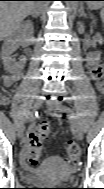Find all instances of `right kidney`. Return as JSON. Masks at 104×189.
Instances as JSON below:
<instances>
[{
	"label": "right kidney",
	"instance_id": "right-kidney-1",
	"mask_svg": "<svg viewBox=\"0 0 104 189\" xmlns=\"http://www.w3.org/2000/svg\"><path fill=\"white\" fill-rule=\"evenodd\" d=\"M33 32V25L31 22L23 23L19 26L18 30L13 34L7 36L0 51V57L3 61L4 68L9 73L20 72L26 63V58L21 57L19 61H16L12 57V53L16 51L20 43L29 37Z\"/></svg>",
	"mask_w": 104,
	"mask_h": 189
}]
</instances>
